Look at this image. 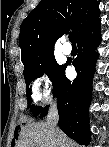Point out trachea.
<instances>
[{"label":"trachea","instance_id":"1","mask_svg":"<svg viewBox=\"0 0 109 147\" xmlns=\"http://www.w3.org/2000/svg\"><path fill=\"white\" fill-rule=\"evenodd\" d=\"M69 40H70V42L72 43L73 46H76L74 34H69Z\"/></svg>","mask_w":109,"mask_h":147}]
</instances>
